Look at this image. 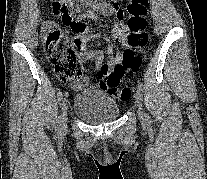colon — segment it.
Segmentation results:
<instances>
[{"instance_id":"5ec220e1","label":"colon","mask_w":207,"mask_h":179,"mask_svg":"<svg viewBox=\"0 0 207 179\" xmlns=\"http://www.w3.org/2000/svg\"><path fill=\"white\" fill-rule=\"evenodd\" d=\"M51 6L53 12L60 15L62 22L70 25L73 23L71 16L79 14L82 9L77 0H51ZM148 6L149 0H129L126 7L129 30L126 39L129 47L123 51L119 64L112 68L103 64L99 70V86L120 101H127L131 97V89L123 86L122 80L128 73L138 72L142 66L140 53L149 41L146 31ZM42 38L56 77L62 82L85 83L88 68L85 58L77 51V40H65L61 29L52 21L43 24Z\"/></svg>"}]
</instances>
